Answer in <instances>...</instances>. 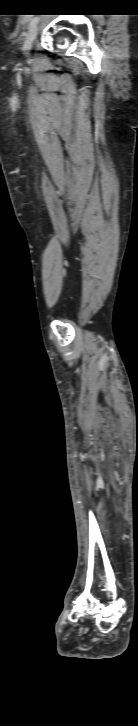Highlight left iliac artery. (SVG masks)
Instances as JSON below:
<instances>
[{
  "mask_svg": "<svg viewBox=\"0 0 138 726\" xmlns=\"http://www.w3.org/2000/svg\"><path fill=\"white\" fill-rule=\"evenodd\" d=\"M38 21H39V18H38L37 16H36V17H33V18L31 19V21H30V24H29V25H30V27H32V26H34V25H36V24L38 23Z\"/></svg>",
  "mask_w": 138,
  "mask_h": 726,
  "instance_id": "44dca946",
  "label": "left iliac artery"
}]
</instances>
